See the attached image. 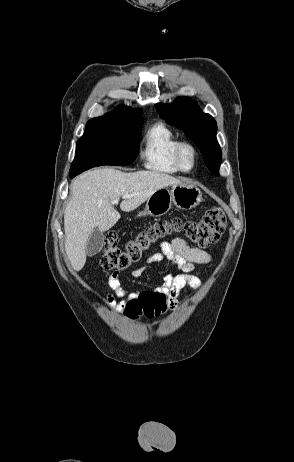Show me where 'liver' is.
Listing matches in <instances>:
<instances>
[{
  "instance_id": "obj_1",
  "label": "liver",
  "mask_w": 294,
  "mask_h": 462,
  "mask_svg": "<svg viewBox=\"0 0 294 462\" xmlns=\"http://www.w3.org/2000/svg\"><path fill=\"white\" fill-rule=\"evenodd\" d=\"M173 176L156 171L125 173L100 168L79 175L71 184V198L64 212L65 251L75 271L86 262V243L92 231H107L120 219L113 201L124 195L120 208L130 212L158 189L180 184Z\"/></svg>"
}]
</instances>
